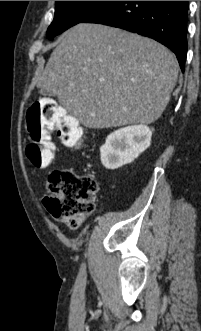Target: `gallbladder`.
<instances>
[{
    "label": "gallbladder",
    "instance_id": "bac80fb5",
    "mask_svg": "<svg viewBox=\"0 0 201 331\" xmlns=\"http://www.w3.org/2000/svg\"><path fill=\"white\" fill-rule=\"evenodd\" d=\"M40 94L45 96V97H53L55 94L52 91H49L47 89H41Z\"/></svg>",
    "mask_w": 201,
    "mask_h": 331
}]
</instances>
